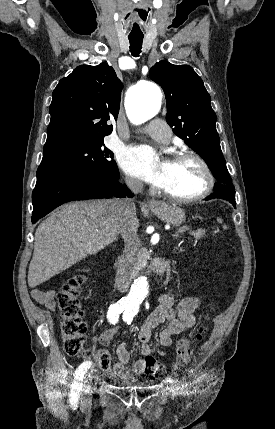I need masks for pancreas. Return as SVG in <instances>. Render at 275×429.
Wrapping results in <instances>:
<instances>
[{"instance_id":"pancreas-1","label":"pancreas","mask_w":275,"mask_h":429,"mask_svg":"<svg viewBox=\"0 0 275 429\" xmlns=\"http://www.w3.org/2000/svg\"><path fill=\"white\" fill-rule=\"evenodd\" d=\"M205 234H206V231H205V230H202V229H199V230H196V231L191 232V235H193V236H194L195 240H199V239H201V238L205 237ZM180 251H181V250H180ZM141 258H142L143 260L145 259V257H144V256H142Z\"/></svg>"}]
</instances>
